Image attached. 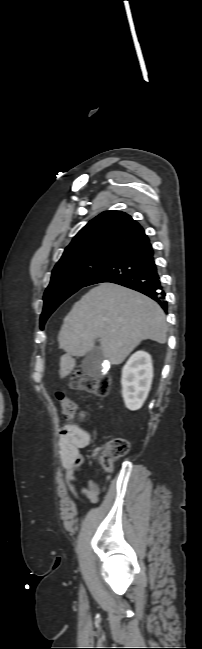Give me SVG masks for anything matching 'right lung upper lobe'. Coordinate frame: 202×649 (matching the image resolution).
Instances as JSON below:
<instances>
[{"instance_id": "cb5924a9", "label": "right lung upper lobe", "mask_w": 202, "mask_h": 649, "mask_svg": "<svg viewBox=\"0 0 202 649\" xmlns=\"http://www.w3.org/2000/svg\"><path fill=\"white\" fill-rule=\"evenodd\" d=\"M146 237L143 228L130 215L121 211H105L77 233L61 259L92 251L117 254Z\"/></svg>"}]
</instances>
